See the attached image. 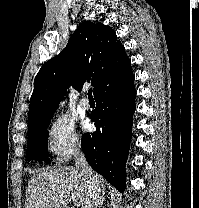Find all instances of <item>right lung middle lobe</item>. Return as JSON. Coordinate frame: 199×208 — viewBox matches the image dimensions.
<instances>
[{
  "label": "right lung middle lobe",
  "instance_id": "obj_1",
  "mask_svg": "<svg viewBox=\"0 0 199 208\" xmlns=\"http://www.w3.org/2000/svg\"><path fill=\"white\" fill-rule=\"evenodd\" d=\"M50 120L28 131L27 159L49 162L48 159V131Z\"/></svg>",
  "mask_w": 199,
  "mask_h": 208
}]
</instances>
